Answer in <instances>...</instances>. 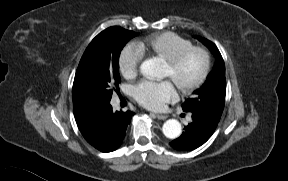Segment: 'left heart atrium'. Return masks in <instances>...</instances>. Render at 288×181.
Segmentation results:
<instances>
[{
  "mask_svg": "<svg viewBox=\"0 0 288 181\" xmlns=\"http://www.w3.org/2000/svg\"><path fill=\"white\" fill-rule=\"evenodd\" d=\"M133 96L142 106L151 110H161L166 103L176 99L177 91L170 80H143L133 87Z\"/></svg>",
  "mask_w": 288,
  "mask_h": 181,
  "instance_id": "39dd6f15",
  "label": "left heart atrium"
}]
</instances>
